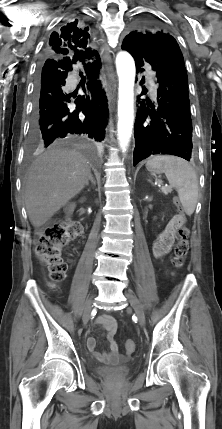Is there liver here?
<instances>
[{"label": "liver", "mask_w": 222, "mask_h": 429, "mask_svg": "<svg viewBox=\"0 0 222 429\" xmlns=\"http://www.w3.org/2000/svg\"><path fill=\"white\" fill-rule=\"evenodd\" d=\"M88 160L76 150L50 148L38 156L24 180L25 206L31 224L43 226L89 179Z\"/></svg>", "instance_id": "6515ba94"}]
</instances>
